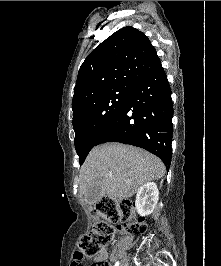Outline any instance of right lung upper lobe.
I'll use <instances>...</instances> for the list:
<instances>
[{
  "instance_id": "obj_1",
  "label": "right lung upper lobe",
  "mask_w": 221,
  "mask_h": 266,
  "mask_svg": "<svg viewBox=\"0 0 221 266\" xmlns=\"http://www.w3.org/2000/svg\"><path fill=\"white\" fill-rule=\"evenodd\" d=\"M161 65L147 36L131 26L113 33L81 65L72 102L73 114L87 97L116 87H132Z\"/></svg>"
}]
</instances>
